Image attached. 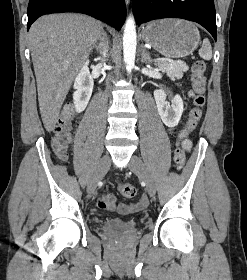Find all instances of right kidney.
Listing matches in <instances>:
<instances>
[{
    "label": "right kidney",
    "mask_w": 247,
    "mask_h": 280,
    "mask_svg": "<svg viewBox=\"0 0 247 280\" xmlns=\"http://www.w3.org/2000/svg\"><path fill=\"white\" fill-rule=\"evenodd\" d=\"M88 63L89 62L86 61L74 82V89L76 91L73 94V100L78 113L85 110L93 91L94 82L90 75Z\"/></svg>",
    "instance_id": "ca27d5eb"
}]
</instances>
